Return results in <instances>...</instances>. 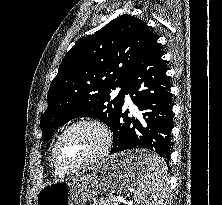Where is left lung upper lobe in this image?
<instances>
[{
  "instance_id": "obj_1",
  "label": "left lung upper lobe",
  "mask_w": 222,
  "mask_h": 205,
  "mask_svg": "<svg viewBox=\"0 0 222 205\" xmlns=\"http://www.w3.org/2000/svg\"><path fill=\"white\" fill-rule=\"evenodd\" d=\"M151 34L144 21L124 14L78 40L50 85L48 108L40 123L43 142L76 117L98 118L112 129L122 109L128 72ZM117 87L121 88L119 94L111 96ZM168 151L160 155L166 157Z\"/></svg>"
}]
</instances>
